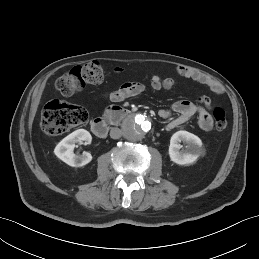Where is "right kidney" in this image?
<instances>
[{
  "instance_id": "obj_1",
  "label": "right kidney",
  "mask_w": 259,
  "mask_h": 259,
  "mask_svg": "<svg viewBox=\"0 0 259 259\" xmlns=\"http://www.w3.org/2000/svg\"><path fill=\"white\" fill-rule=\"evenodd\" d=\"M91 140V134L87 130L78 129L61 140L55 147L54 153L69 166H84L92 160V155L89 152L75 154L73 150L75 148V143L84 142L87 145L91 143Z\"/></svg>"
}]
</instances>
